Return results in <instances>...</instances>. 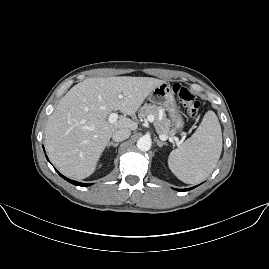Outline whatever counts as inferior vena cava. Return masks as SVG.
Returning <instances> with one entry per match:
<instances>
[{"label": "inferior vena cava", "mask_w": 269, "mask_h": 269, "mask_svg": "<svg viewBox=\"0 0 269 269\" xmlns=\"http://www.w3.org/2000/svg\"><path fill=\"white\" fill-rule=\"evenodd\" d=\"M130 131L128 129H118L112 134L114 142H122L130 137Z\"/></svg>", "instance_id": "obj_1"}]
</instances>
